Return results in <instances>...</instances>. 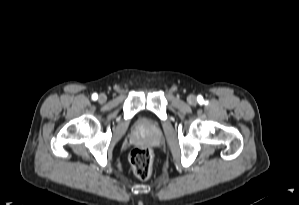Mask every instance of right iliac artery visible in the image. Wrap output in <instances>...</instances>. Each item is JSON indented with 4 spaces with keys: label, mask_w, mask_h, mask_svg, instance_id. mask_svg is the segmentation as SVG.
<instances>
[{
    "label": "right iliac artery",
    "mask_w": 299,
    "mask_h": 205,
    "mask_svg": "<svg viewBox=\"0 0 299 205\" xmlns=\"http://www.w3.org/2000/svg\"><path fill=\"white\" fill-rule=\"evenodd\" d=\"M92 99H93V100H97V99H98V95H97L96 93H94V94L92 95Z\"/></svg>",
    "instance_id": "82829eb1"
}]
</instances>
